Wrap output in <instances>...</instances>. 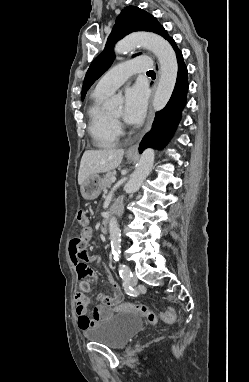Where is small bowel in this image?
I'll return each mask as SVG.
<instances>
[{"label": "small bowel", "instance_id": "1", "mask_svg": "<svg viewBox=\"0 0 249 382\" xmlns=\"http://www.w3.org/2000/svg\"><path fill=\"white\" fill-rule=\"evenodd\" d=\"M93 231L91 228H87L80 235L67 243V250L69 253V258L73 266H78L80 262L98 261L97 256H93L91 252H85L84 247L92 238ZM83 238V241H77L79 238ZM80 261V262H79ZM108 279L111 283H114L113 277L108 275ZM79 288L81 292L77 293L75 296V301L77 303V315H78V326L81 330L86 331L90 327L96 325L97 323L103 321L111 314L110 307L104 305H98L93 309L92 315H88V306L90 305V299L87 294L92 292V287L90 282L85 279L79 281ZM115 293L122 296L121 292L116 289Z\"/></svg>", "mask_w": 249, "mask_h": 382}]
</instances>
